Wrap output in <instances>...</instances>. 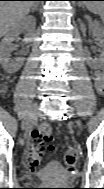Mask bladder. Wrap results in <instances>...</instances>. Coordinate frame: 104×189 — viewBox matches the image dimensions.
Returning <instances> with one entry per match:
<instances>
[{
  "mask_svg": "<svg viewBox=\"0 0 104 189\" xmlns=\"http://www.w3.org/2000/svg\"><path fill=\"white\" fill-rule=\"evenodd\" d=\"M63 174H64V169L62 165L57 161H53L46 165L43 171L36 176V179L38 180L55 179Z\"/></svg>",
  "mask_w": 104,
  "mask_h": 189,
  "instance_id": "1",
  "label": "bladder"
}]
</instances>
